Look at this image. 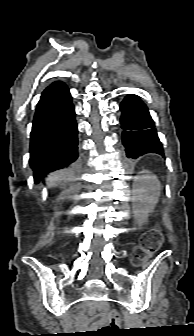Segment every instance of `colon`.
Wrapping results in <instances>:
<instances>
[{
  "mask_svg": "<svg viewBox=\"0 0 194 336\" xmlns=\"http://www.w3.org/2000/svg\"><path fill=\"white\" fill-rule=\"evenodd\" d=\"M162 245V238L158 232H149L145 238L143 244L135 248L132 252V259L134 261H141L157 252ZM110 323L103 327L102 330H111L119 327L122 316L120 312L113 310L110 312Z\"/></svg>",
  "mask_w": 194,
  "mask_h": 336,
  "instance_id": "colon-1",
  "label": "colon"
}]
</instances>
